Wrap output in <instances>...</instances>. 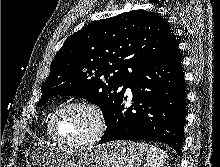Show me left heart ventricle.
Returning <instances> with one entry per match:
<instances>
[{
	"instance_id": "1",
	"label": "left heart ventricle",
	"mask_w": 220,
	"mask_h": 167,
	"mask_svg": "<svg viewBox=\"0 0 220 167\" xmlns=\"http://www.w3.org/2000/svg\"><path fill=\"white\" fill-rule=\"evenodd\" d=\"M94 127L93 116L87 110L79 107L64 110L55 122L56 134L63 140L84 138L94 130Z\"/></svg>"
}]
</instances>
